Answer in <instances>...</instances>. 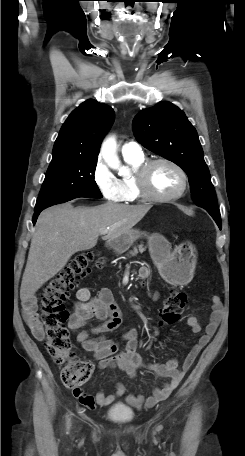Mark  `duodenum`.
Segmentation results:
<instances>
[{
    "label": "duodenum",
    "instance_id": "1",
    "mask_svg": "<svg viewBox=\"0 0 245 456\" xmlns=\"http://www.w3.org/2000/svg\"><path fill=\"white\" fill-rule=\"evenodd\" d=\"M117 246V242L116 241H111L108 243L107 247L108 249H113Z\"/></svg>",
    "mask_w": 245,
    "mask_h": 456
}]
</instances>
